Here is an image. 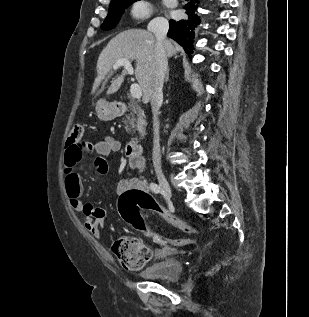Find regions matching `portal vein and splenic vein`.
I'll use <instances>...</instances> for the list:
<instances>
[{
  "instance_id": "obj_1",
  "label": "portal vein and splenic vein",
  "mask_w": 309,
  "mask_h": 317,
  "mask_svg": "<svg viewBox=\"0 0 309 317\" xmlns=\"http://www.w3.org/2000/svg\"><path fill=\"white\" fill-rule=\"evenodd\" d=\"M124 66L125 69L128 71L129 74H133V68L131 65V62L127 59H120L118 60L114 65H113V69H118L119 67ZM130 93L132 95V97L139 99L142 96V90L139 86V84L137 83H133L130 86Z\"/></svg>"
}]
</instances>
